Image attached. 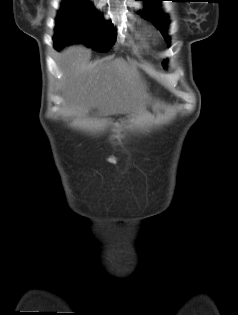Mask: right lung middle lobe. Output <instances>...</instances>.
Listing matches in <instances>:
<instances>
[{"instance_id":"1","label":"right lung middle lobe","mask_w":238,"mask_h":315,"mask_svg":"<svg viewBox=\"0 0 238 315\" xmlns=\"http://www.w3.org/2000/svg\"><path fill=\"white\" fill-rule=\"evenodd\" d=\"M116 39V29L104 21L88 3L65 0L58 12L54 47L83 43L99 52L108 51Z\"/></svg>"}]
</instances>
